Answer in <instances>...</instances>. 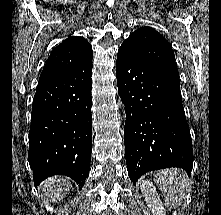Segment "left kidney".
<instances>
[{
  "mask_svg": "<svg viewBox=\"0 0 221 215\" xmlns=\"http://www.w3.org/2000/svg\"><path fill=\"white\" fill-rule=\"evenodd\" d=\"M140 189L142 194H144L145 201L148 207L151 209L153 215H166V211L155 186L148 180H142L140 183Z\"/></svg>",
  "mask_w": 221,
  "mask_h": 215,
  "instance_id": "obj_1",
  "label": "left kidney"
}]
</instances>
